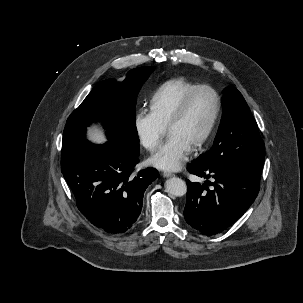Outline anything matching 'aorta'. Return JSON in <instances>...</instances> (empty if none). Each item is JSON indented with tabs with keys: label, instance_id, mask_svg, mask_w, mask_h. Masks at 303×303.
<instances>
[{
	"label": "aorta",
	"instance_id": "aorta-1",
	"mask_svg": "<svg viewBox=\"0 0 303 303\" xmlns=\"http://www.w3.org/2000/svg\"><path fill=\"white\" fill-rule=\"evenodd\" d=\"M165 189L169 194L181 197L186 194L187 185L182 179L173 177L165 182Z\"/></svg>",
	"mask_w": 303,
	"mask_h": 303
}]
</instances>
